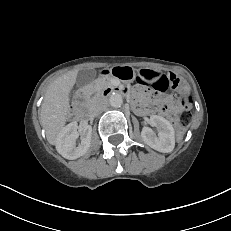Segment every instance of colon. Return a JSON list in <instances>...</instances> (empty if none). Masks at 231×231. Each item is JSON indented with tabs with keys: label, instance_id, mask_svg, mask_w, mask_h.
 <instances>
[{
	"label": "colon",
	"instance_id": "5ec220e1",
	"mask_svg": "<svg viewBox=\"0 0 231 231\" xmlns=\"http://www.w3.org/2000/svg\"><path fill=\"white\" fill-rule=\"evenodd\" d=\"M180 85V80L177 78H173V88H178ZM178 101L183 108V112L175 118L174 124L177 131V139L181 140L185 134V131L188 127L189 119L191 117L192 97L189 92L181 91L178 96ZM162 106L164 109L169 108V105L167 103H163Z\"/></svg>",
	"mask_w": 231,
	"mask_h": 231
}]
</instances>
